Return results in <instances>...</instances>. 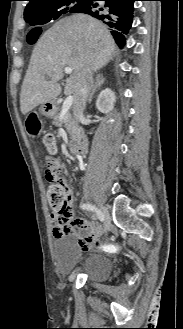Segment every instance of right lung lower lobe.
<instances>
[{"mask_svg": "<svg viewBox=\"0 0 183 329\" xmlns=\"http://www.w3.org/2000/svg\"><path fill=\"white\" fill-rule=\"evenodd\" d=\"M136 0H83L81 7L72 13L93 16L108 25L116 43L123 47L124 34L132 25L134 2ZM32 35L33 32H32Z\"/></svg>", "mask_w": 183, "mask_h": 329, "instance_id": "98d812e1", "label": "right lung lower lobe"}]
</instances>
